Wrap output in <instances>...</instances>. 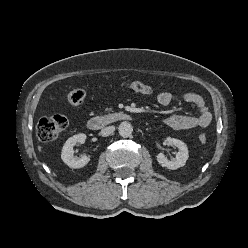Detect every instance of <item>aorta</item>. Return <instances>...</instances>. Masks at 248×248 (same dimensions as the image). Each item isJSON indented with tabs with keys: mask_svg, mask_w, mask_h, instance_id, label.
Returning a JSON list of instances; mask_svg holds the SVG:
<instances>
[{
	"mask_svg": "<svg viewBox=\"0 0 248 248\" xmlns=\"http://www.w3.org/2000/svg\"><path fill=\"white\" fill-rule=\"evenodd\" d=\"M118 132H119V135L121 137L127 138V137L131 136V134L133 132V127H132L130 122L123 121L120 123V125L118 127Z\"/></svg>",
	"mask_w": 248,
	"mask_h": 248,
	"instance_id": "aorta-1",
	"label": "aorta"
}]
</instances>
